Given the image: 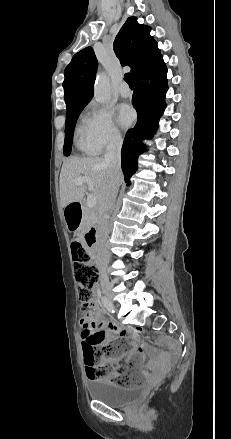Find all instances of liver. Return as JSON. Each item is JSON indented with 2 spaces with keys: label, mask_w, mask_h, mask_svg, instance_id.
<instances>
[{
  "label": "liver",
  "mask_w": 231,
  "mask_h": 439,
  "mask_svg": "<svg viewBox=\"0 0 231 439\" xmlns=\"http://www.w3.org/2000/svg\"><path fill=\"white\" fill-rule=\"evenodd\" d=\"M82 175L91 180L92 195L96 196L99 206L103 208L110 185V170L102 157L71 158L63 163L59 181L62 206L82 201L88 184L74 183V180Z\"/></svg>",
  "instance_id": "6515ba94"
}]
</instances>
